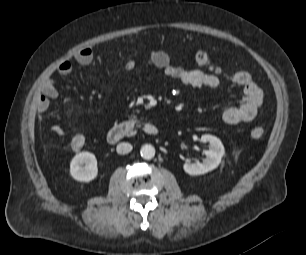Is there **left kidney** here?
I'll use <instances>...</instances> for the list:
<instances>
[{"mask_svg":"<svg viewBox=\"0 0 306 255\" xmlns=\"http://www.w3.org/2000/svg\"><path fill=\"white\" fill-rule=\"evenodd\" d=\"M201 140L209 144V150L205 151L206 158L202 162L183 165L184 171L189 175H202L217 168L225 154L224 146L219 138L205 134L201 136Z\"/></svg>","mask_w":306,"mask_h":255,"instance_id":"1","label":"left kidney"}]
</instances>
